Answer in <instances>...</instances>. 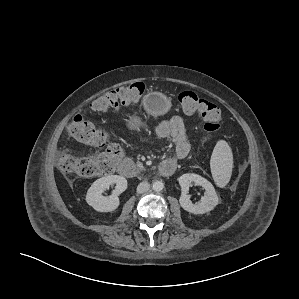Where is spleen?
<instances>
[{"label":"spleen","instance_id":"spleen-1","mask_svg":"<svg viewBox=\"0 0 299 299\" xmlns=\"http://www.w3.org/2000/svg\"><path fill=\"white\" fill-rule=\"evenodd\" d=\"M212 176L218 186L224 187L230 180L233 168L231 148L225 140H219L211 155Z\"/></svg>","mask_w":299,"mask_h":299}]
</instances>
